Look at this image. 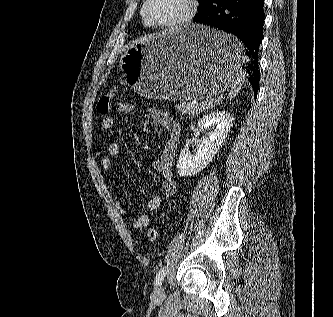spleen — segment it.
Masks as SVG:
<instances>
[{
	"label": "spleen",
	"mask_w": 333,
	"mask_h": 317,
	"mask_svg": "<svg viewBox=\"0 0 333 317\" xmlns=\"http://www.w3.org/2000/svg\"><path fill=\"white\" fill-rule=\"evenodd\" d=\"M226 43L234 48V51L236 52L235 58H236V56L241 54V44L235 37H231V39L229 41H227ZM234 60H236V59H234ZM245 77H246L245 71L242 68H240L239 66H236L235 78L233 80V84L231 85V89L228 94V98L230 100L233 99L240 92L241 87L243 85V81L245 80Z\"/></svg>",
	"instance_id": "1"
}]
</instances>
